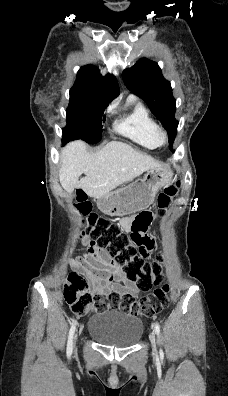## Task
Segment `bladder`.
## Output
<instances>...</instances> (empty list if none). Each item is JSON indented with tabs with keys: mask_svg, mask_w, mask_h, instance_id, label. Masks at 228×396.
I'll use <instances>...</instances> for the list:
<instances>
[{
	"mask_svg": "<svg viewBox=\"0 0 228 396\" xmlns=\"http://www.w3.org/2000/svg\"><path fill=\"white\" fill-rule=\"evenodd\" d=\"M87 330L92 338L103 345L125 348L141 340L144 323L137 315L111 310L91 316Z\"/></svg>",
	"mask_w": 228,
	"mask_h": 396,
	"instance_id": "bladder-1",
	"label": "bladder"
}]
</instances>
